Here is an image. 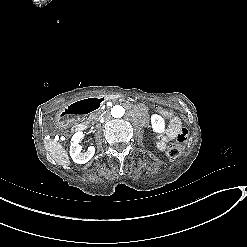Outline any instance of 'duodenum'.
<instances>
[{"instance_id": "duodenum-1", "label": "duodenum", "mask_w": 247, "mask_h": 247, "mask_svg": "<svg viewBox=\"0 0 247 247\" xmlns=\"http://www.w3.org/2000/svg\"><path fill=\"white\" fill-rule=\"evenodd\" d=\"M115 98V96H93L81 99L70 104L63 112V117L66 121H75L79 116L88 114L98 109L102 103L107 99ZM86 129V124L76 123L75 131H83Z\"/></svg>"}]
</instances>
